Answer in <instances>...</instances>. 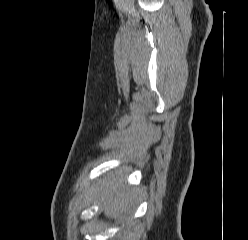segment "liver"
Instances as JSON below:
<instances>
[{"instance_id":"6515ba94","label":"liver","mask_w":248,"mask_h":240,"mask_svg":"<svg viewBox=\"0 0 248 240\" xmlns=\"http://www.w3.org/2000/svg\"><path fill=\"white\" fill-rule=\"evenodd\" d=\"M137 191L135 189H127L124 185V180L119 181L112 178L105 184L102 201L104 213L108 218H117L123 212L129 210L131 203L135 200Z\"/></svg>"}]
</instances>
